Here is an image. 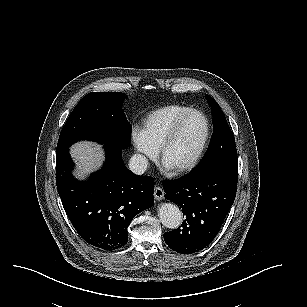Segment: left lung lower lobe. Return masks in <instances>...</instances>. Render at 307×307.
<instances>
[{
	"instance_id": "0a47b994",
	"label": "left lung lower lobe",
	"mask_w": 307,
	"mask_h": 307,
	"mask_svg": "<svg viewBox=\"0 0 307 307\" xmlns=\"http://www.w3.org/2000/svg\"><path fill=\"white\" fill-rule=\"evenodd\" d=\"M238 171L209 167L191 171L177 179L165 180V198L182 209L185 220L164 240L181 254L198 252L218 234L237 191Z\"/></svg>"
}]
</instances>
